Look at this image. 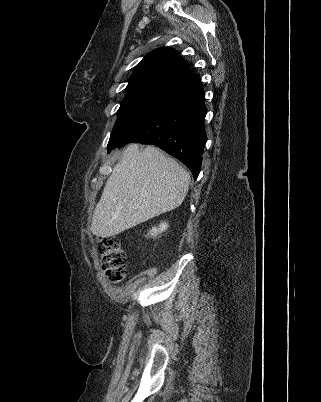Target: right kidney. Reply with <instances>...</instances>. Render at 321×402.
Returning <instances> with one entry per match:
<instances>
[{
	"mask_svg": "<svg viewBox=\"0 0 321 402\" xmlns=\"http://www.w3.org/2000/svg\"><path fill=\"white\" fill-rule=\"evenodd\" d=\"M167 229H168V223L161 222L158 227H152V229L149 232V235L151 237H156L158 234L165 232Z\"/></svg>",
	"mask_w": 321,
	"mask_h": 402,
	"instance_id": "obj_1",
	"label": "right kidney"
}]
</instances>
